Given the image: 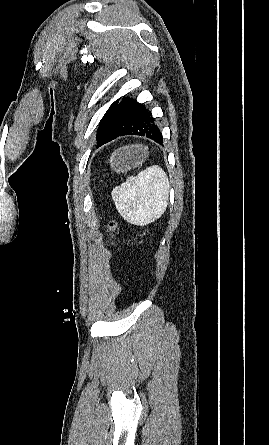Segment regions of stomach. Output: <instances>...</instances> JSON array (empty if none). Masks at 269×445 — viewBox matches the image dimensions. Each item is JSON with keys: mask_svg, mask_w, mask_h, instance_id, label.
<instances>
[{"mask_svg": "<svg viewBox=\"0 0 269 445\" xmlns=\"http://www.w3.org/2000/svg\"><path fill=\"white\" fill-rule=\"evenodd\" d=\"M148 155L149 151L147 147H143L142 145L127 146L118 149L112 154L110 164L116 172H127L141 165Z\"/></svg>", "mask_w": 269, "mask_h": 445, "instance_id": "0dacf381", "label": "stomach"}]
</instances>
